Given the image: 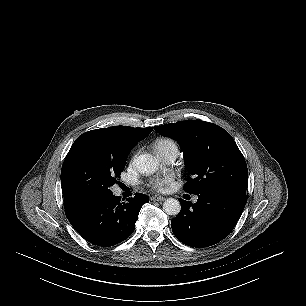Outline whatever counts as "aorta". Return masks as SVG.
Masks as SVG:
<instances>
[{"instance_id": "1", "label": "aorta", "mask_w": 306, "mask_h": 306, "mask_svg": "<svg viewBox=\"0 0 306 306\" xmlns=\"http://www.w3.org/2000/svg\"><path fill=\"white\" fill-rule=\"evenodd\" d=\"M159 164V160L151 154H141L135 160L137 170L146 175L156 172ZM163 210L168 215H178L181 210L180 202L174 198H168L163 203Z\"/></svg>"}]
</instances>
